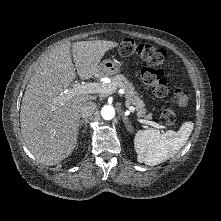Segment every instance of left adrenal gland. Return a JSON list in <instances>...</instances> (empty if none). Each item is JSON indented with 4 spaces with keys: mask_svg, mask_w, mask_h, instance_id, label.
<instances>
[{
    "mask_svg": "<svg viewBox=\"0 0 221 221\" xmlns=\"http://www.w3.org/2000/svg\"><path fill=\"white\" fill-rule=\"evenodd\" d=\"M121 116H122V119H123V122L125 124V127L128 131H130V121L128 119V117L124 114V112H121Z\"/></svg>",
    "mask_w": 221,
    "mask_h": 221,
    "instance_id": "left-adrenal-gland-1",
    "label": "left adrenal gland"
}]
</instances>
